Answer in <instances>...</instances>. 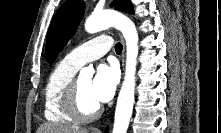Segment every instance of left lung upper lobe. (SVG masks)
<instances>
[{"mask_svg": "<svg viewBox=\"0 0 221 133\" xmlns=\"http://www.w3.org/2000/svg\"><path fill=\"white\" fill-rule=\"evenodd\" d=\"M115 9L133 14L130 0H114ZM85 4L82 0L66 1L55 14L47 37L46 59L52 64L71 36L84 15Z\"/></svg>", "mask_w": 221, "mask_h": 133, "instance_id": "1", "label": "left lung upper lobe"}]
</instances>
